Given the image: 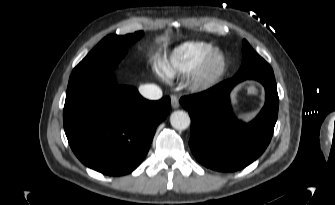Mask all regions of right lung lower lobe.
<instances>
[{"label": "right lung lower lobe", "instance_id": "98d812e1", "mask_svg": "<svg viewBox=\"0 0 335 205\" xmlns=\"http://www.w3.org/2000/svg\"><path fill=\"white\" fill-rule=\"evenodd\" d=\"M169 111V97L146 100L134 87L117 85L112 71H100L68 84L64 130L84 165L119 176L141 163Z\"/></svg>", "mask_w": 335, "mask_h": 205}]
</instances>
